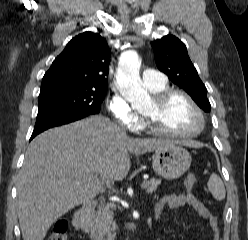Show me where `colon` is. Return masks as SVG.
I'll return each instance as SVG.
<instances>
[{"label": "colon", "mask_w": 248, "mask_h": 240, "mask_svg": "<svg viewBox=\"0 0 248 240\" xmlns=\"http://www.w3.org/2000/svg\"><path fill=\"white\" fill-rule=\"evenodd\" d=\"M196 184V177L193 174H189L185 181H184V187L187 192H190L193 187ZM67 230H68V224L65 220H59L57 221L52 231L47 238V240H67Z\"/></svg>", "instance_id": "obj_1"}]
</instances>
